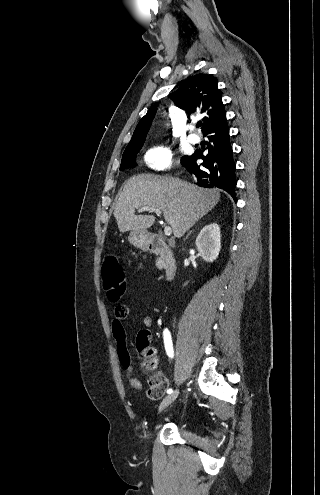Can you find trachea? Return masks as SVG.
<instances>
[{
	"label": "trachea",
	"instance_id": "obj_1",
	"mask_svg": "<svg viewBox=\"0 0 320 495\" xmlns=\"http://www.w3.org/2000/svg\"><path fill=\"white\" fill-rule=\"evenodd\" d=\"M201 125H202L201 123H198V124L196 125V127H197V128H199Z\"/></svg>",
	"mask_w": 320,
	"mask_h": 495
}]
</instances>
